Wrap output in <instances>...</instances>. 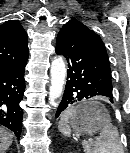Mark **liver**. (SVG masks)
Here are the masks:
<instances>
[{"instance_id":"6515ba94","label":"liver","mask_w":130,"mask_h":153,"mask_svg":"<svg viewBox=\"0 0 130 153\" xmlns=\"http://www.w3.org/2000/svg\"><path fill=\"white\" fill-rule=\"evenodd\" d=\"M12 141L13 135L6 129L0 127V153H5L12 144Z\"/></svg>"}]
</instances>
